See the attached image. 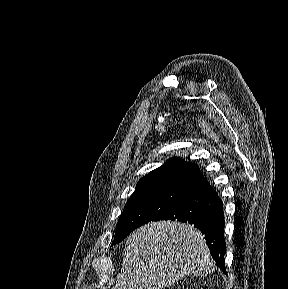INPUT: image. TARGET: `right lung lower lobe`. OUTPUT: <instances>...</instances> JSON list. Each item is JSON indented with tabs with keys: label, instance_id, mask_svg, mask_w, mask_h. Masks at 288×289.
<instances>
[{
	"label": "right lung lower lobe",
	"instance_id": "obj_1",
	"mask_svg": "<svg viewBox=\"0 0 288 289\" xmlns=\"http://www.w3.org/2000/svg\"><path fill=\"white\" fill-rule=\"evenodd\" d=\"M158 220H178L188 222L198 228L205 234V239L216 264L227 274L224 264L226 244L224 240L223 203L206 178L188 189L181 200L153 221Z\"/></svg>",
	"mask_w": 288,
	"mask_h": 289
}]
</instances>
